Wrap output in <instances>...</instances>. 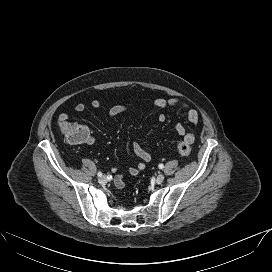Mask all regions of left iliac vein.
I'll use <instances>...</instances> for the list:
<instances>
[{"mask_svg": "<svg viewBox=\"0 0 272 272\" xmlns=\"http://www.w3.org/2000/svg\"><path fill=\"white\" fill-rule=\"evenodd\" d=\"M164 175L163 174H159L156 178L157 183H162L164 181Z\"/></svg>", "mask_w": 272, "mask_h": 272, "instance_id": "1", "label": "left iliac vein"}]
</instances>
